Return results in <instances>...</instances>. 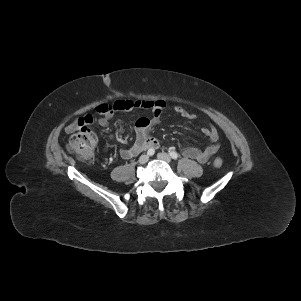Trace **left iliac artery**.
<instances>
[{"label":"left iliac artery","instance_id":"44dca946","mask_svg":"<svg viewBox=\"0 0 301 301\" xmlns=\"http://www.w3.org/2000/svg\"><path fill=\"white\" fill-rule=\"evenodd\" d=\"M170 156L172 159L177 160L178 159V153L175 151H170L169 152Z\"/></svg>","mask_w":301,"mask_h":301}]
</instances>
